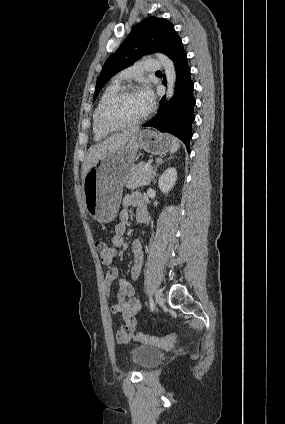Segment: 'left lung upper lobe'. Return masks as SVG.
Here are the masks:
<instances>
[{"instance_id": "left-lung-upper-lobe-1", "label": "left lung upper lobe", "mask_w": 285, "mask_h": 424, "mask_svg": "<svg viewBox=\"0 0 285 424\" xmlns=\"http://www.w3.org/2000/svg\"><path fill=\"white\" fill-rule=\"evenodd\" d=\"M179 38L172 23L164 18L148 17L137 24L119 49L106 60L96 82L93 100L117 72L131 66L145 54L161 52L168 56Z\"/></svg>"}]
</instances>
